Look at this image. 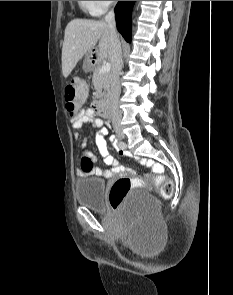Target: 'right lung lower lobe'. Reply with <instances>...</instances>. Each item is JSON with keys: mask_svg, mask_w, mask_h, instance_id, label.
Returning a JSON list of instances; mask_svg holds the SVG:
<instances>
[{"mask_svg": "<svg viewBox=\"0 0 233 295\" xmlns=\"http://www.w3.org/2000/svg\"><path fill=\"white\" fill-rule=\"evenodd\" d=\"M135 1H119L115 7V18L118 31L127 42L131 41V10Z\"/></svg>", "mask_w": 233, "mask_h": 295, "instance_id": "obj_1", "label": "right lung lower lobe"}]
</instances>
